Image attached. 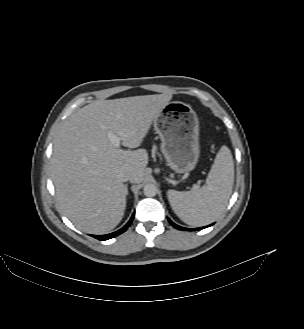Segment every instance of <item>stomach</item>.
Here are the masks:
<instances>
[{
    "label": "stomach",
    "mask_w": 304,
    "mask_h": 329,
    "mask_svg": "<svg viewBox=\"0 0 304 329\" xmlns=\"http://www.w3.org/2000/svg\"><path fill=\"white\" fill-rule=\"evenodd\" d=\"M161 152L176 173L192 171L199 159V121L189 104L169 102L154 120Z\"/></svg>",
    "instance_id": "1"
}]
</instances>
